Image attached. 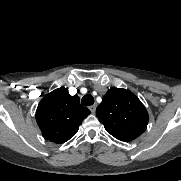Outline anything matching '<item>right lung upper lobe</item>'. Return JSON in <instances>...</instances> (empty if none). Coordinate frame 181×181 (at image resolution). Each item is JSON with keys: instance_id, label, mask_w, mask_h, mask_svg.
<instances>
[{"instance_id": "right-lung-upper-lobe-1", "label": "right lung upper lobe", "mask_w": 181, "mask_h": 181, "mask_svg": "<svg viewBox=\"0 0 181 181\" xmlns=\"http://www.w3.org/2000/svg\"><path fill=\"white\" fill-rule=\"evenodd\" d=\"M91 112L80 105L77 95L60 87L45 95L36 110V121L46 140L62 144L71 139Z\"/></svg>"}]
</instances>
